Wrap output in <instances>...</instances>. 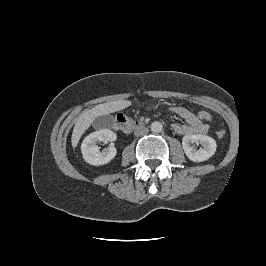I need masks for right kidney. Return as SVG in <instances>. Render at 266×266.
<instances>
[{
  "label": "right kidney",
  "mask_w": 266,
  "mask_h": 266,
  "mask_svg": "<svg viewBox=\"0 0 266 266\" xmlns=\"http://www.w3.org/2000/svg\"><path fill=\"white\" fill-rule=\"evenodd\" d=\"M117 139L116 133L109 129H102L89 134L82 142L81 150L84 160L95 166L104 165L110 162L117 153L114 146H109L100 151L96 142L106 141L113 142Z\"/></svg>",
  "instance_id": "ca27d5eb"
}]
</instances>
